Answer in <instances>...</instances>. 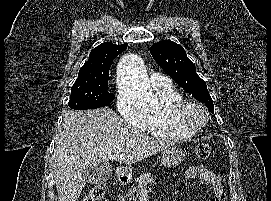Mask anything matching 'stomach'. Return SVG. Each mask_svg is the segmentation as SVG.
Wrapping results in <instances>:
<instances>
[{"label":"stomach","mask_w":271,"mask_h":201,"mask_svg":"<svg viewBox=\"0 0 271 201\" xmlns=\"http://www.w3.org/2000/svg\"><path fill=\"white\" fill-rule=\"evenodd\" d=\"M185 158V151L180 147L171 146L164 150L162 153L161 164L166 168H172L180 165ZM121 172L125 175H129L130 171L126 168H121Z\"/></svg>","instance_id":"1"}]
</instances>
